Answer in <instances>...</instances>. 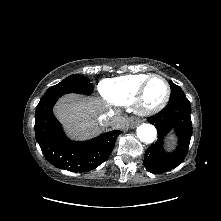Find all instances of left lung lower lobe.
Wrapping results in <instances>:
<instances>
[{
	"mask_svg": "<svg viewBox=\"0 0 221 221\" xmlns=\"http://www.w3.org/2000/svg\"><path fill=\"white\" fill-rule=\"evenodd\" d=\"M190 114V102L185 97L171 100L163 110L147 119L158 132L157 141L146 150L144 156L143 164L149 172L164 173L183 162L192 136ZM170 131L176 134L178 146L172 153H167L163 149V139Z\"/></svg>",
	"mask_w": 221,
	"mask_h": 221,
	"instance_id": "left-lung-lower-lobe-1",
	"label": "left lung lower lobe"
}]
</instances>
